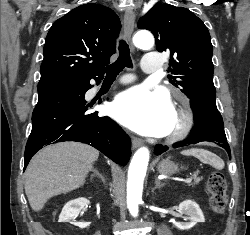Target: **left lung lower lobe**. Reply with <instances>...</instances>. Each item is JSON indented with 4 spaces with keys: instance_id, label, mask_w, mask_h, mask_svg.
Segmentation results:
<instances>
[{
    "instance_id": "0a47b994",
    "label": "left lung lower lobe",
    "mask_w": 250,
    "mask_h": 235,
    "mask_svg": "<svg viewBox=\"0 0 250 235\" xmlns=\"http://www.w3.org/2000/svg\"><path fill=\"white\" fill-rule=\"evenodd\" d=\"M215 97V92H208L190 98L196 122L195 127L191 130L193 136L188 141L175 144L174 148L202 141L218 142V145L223 147L231 158L230 147L224 132L223 119L217 109ZM166 150V147L158 145L155 147L154 153L159 155Z\"/></svg>"
}]
</instances>
